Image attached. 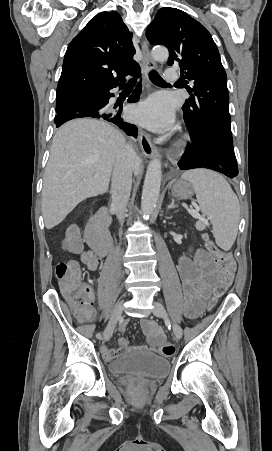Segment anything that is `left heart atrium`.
I'll use <instances>...</instances> for the list:
<instances>
[{
    "label": "left heart atrium",
    "mask_w": 272,
    "mask_h": 451,
    "mask_svg": "<svg viewBox=\"0 0 272 451\" xmlns=\"http://www.w3.org/2000/svg\"><path fill=\"white\" fill-rule=\"evenodd\" d=\"M129 115L152 129L162 131L169 128L173 122V107L166 98L154 96L133 107Z\"/></svg>",
    "instance_id": "1"
}]
</instances>
